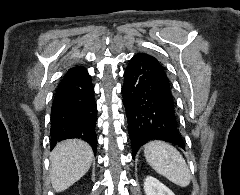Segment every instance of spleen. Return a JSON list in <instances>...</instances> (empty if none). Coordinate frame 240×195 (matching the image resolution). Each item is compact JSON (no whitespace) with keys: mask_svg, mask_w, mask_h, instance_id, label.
I'll return each instance as SVG.
<instances>
[{"mask_svg":"<svg viewBox=\"0 0 240 195\" xmlns=\"http://www.w3.org/2000/svg\"><path fill=\"white\" fill-rule=\"evenodd\" d=\"M144 155L149 165L167 179L186 187L191 181L190 169L180 151L166 141H149L144 145Z\"/></svg>","mask_w":240,"mask_h":195,"instance_id":"3e777b00","label":"spleen"}]
</instances>
